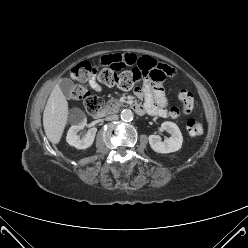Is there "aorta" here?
Returning a JSON list of instances; mask_svg holds the SVG:
<instances>
[{
  "label": "aorta",
  "instance_id": "obj_1",
  "mask_svg": "<svg viewBox=\"0 0 248 248\" xmlns=\"http://www.w3.org/2000/svg\"><path fill=\"white\" fill-rule=\"evenodd\" d=\"M121 119L123 121H132L133 120V112L129 109H124L122 112H121Z\"/></svg>",
  "mask_w": 248,
  "mask_h": 248
}]
</instances>
